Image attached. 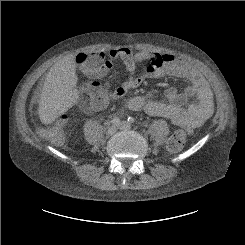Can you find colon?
I'll return each mask as SVG.
<instances>
[{"label": "colon", "instance_id": "colon-1", "mask_svg": "<svg viewBox=\"0 0 245 245\" xmlns=\"http://www.w3.org/2000/svg\"><path fill=\"white\" fill-rule=\"evenodd\" d=\"M86 60V56L79 54L77 56V62L82 64ZM96 91L100 90L98 83H93L91 85ZM105 93H108L107 88L103 89ZM68 121V116L66 114L61 115L52 125L47 126L41 130V135L50 140L53 143L60 144L64 138L65 134L63 132V127ZM187 140V133L183 129L176 130L167 141V149L172 153H177L181 151Z\"/></svg>", "mask_w": 245, "mask_h": 245}]
</instances>
